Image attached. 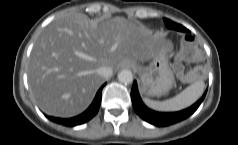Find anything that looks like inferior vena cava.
Instances as JSON below:
<instances>
[{
    "label": "inferior vena cava",
    "instance_id": "602c4592",
    "mask_svg": "<svg viewBox=\"0 0 238 145\" xmlns=\"http://www.w3.org/2000/svg\"><path fill=\"white\" fill-rule=\"evenodd\" d=\"M97 74L102 76L104 79H108L112 76L113 70L110 67L102 66L97 69Z\"/></svg>",
    "mask_w": 238,
    "mask_h": 145
}]
</instances>
